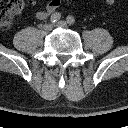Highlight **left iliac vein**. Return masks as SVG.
<instances>
[{
	"label": "left iliac vein",
	"mask_w": 128,
	"mask_h": 128,
	"mask_svg": "<svg viewBox=\"0 0 128 128\" xmlns=\"http://www.w3.org/2000/svg\"><path fill=\"white\" fill-rule=\"evenodd\" d=\"M57 26L58 27H61V28H67L68 27V24L65 21H59L57 23Z\"/></svg>",
	"instance_id": "1"
}]
</instances>
